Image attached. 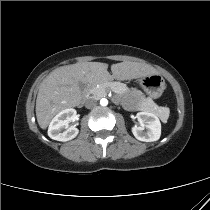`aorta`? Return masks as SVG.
I'll list each match as a JSON object with an SVG mask.
<instances>
[{"label": "aorta", "instance_id": "aorta-1", "mask_svg": "<svg viewBox=\"0 0 210 210\" xmlns=\"http://www.w3.org/2000/svg\"><path fill=\"white\" fill-rule=\"evenodd\" d=\"M100 104L102 105V106H106L107 104H108V100L107 99H101V101H100Z\"/></svg>", "mask_w": 210, "mask_h": 210}]
</instances>
